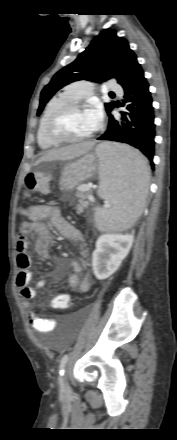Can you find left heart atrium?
I'll return each mask as SVG.
<instances>
[{
  "label": "left heart atrium",
  "mask_w": 177,
  "mask_h": 440,
  "mask_svg": "<svg viewBox=\"0 0 177 440\" xmlns=\"http://www.w3.org/2000/svg\"><path fill=\"white\" fill-rule=\"evenodd\" d=\"M87 116L92 131L96 130L102 121V111L100 107H94L87 110Z\"/></svg>",
  "instance_id": "1"
}]
</instances>
